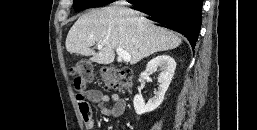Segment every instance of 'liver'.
<instances>
[{"instance_id": "6515ba94", "label": "liver", "mask_w": 257, "mask_h": 130, "mask_svg": "<svg viewBox=\"0 0 257 130\" xmlns=\"http://www.w3.org/2000/svg\"><path fill=\"white\" fill-rule=\"evenodd\" d=\"M182 43L174 32L158 27L139 12L121 7L91 10L82 15L70 28L66 50L90 56L92 62L111 64L115 49L131 55L130 64H136L156 52L177 48ZM102 45L99 52L91 47Z\"/></svg>"}]
</instances>
